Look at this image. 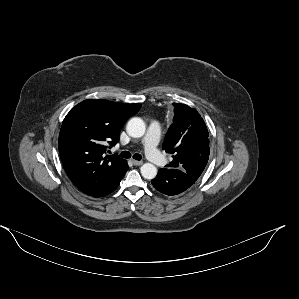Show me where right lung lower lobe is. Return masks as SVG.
Wrapping results in <instances>:
<instances>
[{"label":"right lung lower lobe","instance_id":"right-lung-lower-lobe-1","mask_svg":"<svg viewBox=\"0 0 299 299\" xmlns=\"http://www.w3.org/2000/svg\"><path fill=\"white\" fill-rule=\"evenodd\" d=\"M127 170H128V164L126 162V164L124 165L123 169L121 170V172L118 175V177H117L116 181L114 182V184L111 186V188L103 196L111 193L112 191H114L118 187L121 179L123 178V176L125 175V173L127 172Z\"/></svg>","mask_w":299,"mask_h":299}]
</instances>
